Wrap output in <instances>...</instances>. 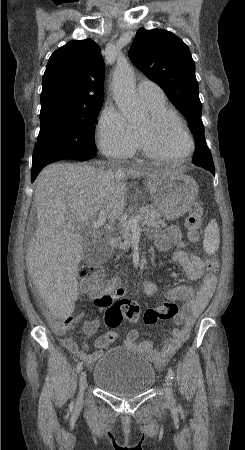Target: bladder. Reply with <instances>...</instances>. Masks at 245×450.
<instances>
[{
    "instance_id": "bladder-1",
    "label": "bladder",
    "mask_w": 245,
    "mask_h": 450,
    "mask_svg": "<svg viewBox=\"0 0 245 450\" xmlns=\"http://www.w3.org/2000/svg\"><path fill=\"white\" fill-rule=\"evenodd\" d=\"M156 379V370L148 360L139 352L122 346L99 358L92 374L93 385L118 397L147 392Z\"/></svg>"
}]
</instances>
